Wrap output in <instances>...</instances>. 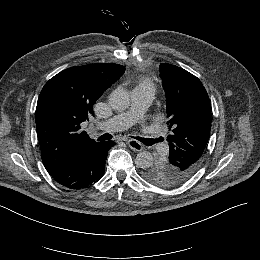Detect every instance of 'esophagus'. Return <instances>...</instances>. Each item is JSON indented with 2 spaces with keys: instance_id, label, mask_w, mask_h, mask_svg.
<instances>
[{
  "instance_id": "1",
  "label": "esophagus",
  "mask_w": 260,
  "mask_h": 260,
  "mask_svg": "<svg viewBox=\"0 0 260 260\" xmlns=\"http://www.w3.org/2000/svg\"><path fill=\"white\" fill-rule=\"evenodd\" d=\"M127 144L131 149H133L135 151H141L143 149L142 144L139 141H137L136 139H129L127 141Z\"/></svg>"
}]
</instances>
